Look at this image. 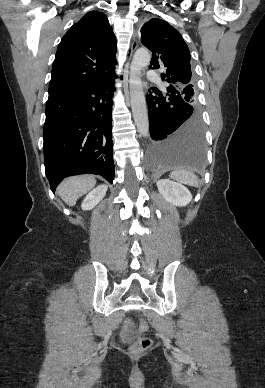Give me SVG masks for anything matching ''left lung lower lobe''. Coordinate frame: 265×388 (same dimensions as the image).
<instances>
[{
    "instance_id": "obj_1",
    "label": "left lung lower lobe",
    "mask_w": 265,
    "mask_h": 388,
    "mask_svg": "<svg viewBox=\"0 0 265 388\" xmlns=\"http://www.w3.org/2000/svg\"><path fill=\"white\" fill-rule=\"evenodd\" d=\"M177 90L147 95L151 134L149 163L153 167L200 170L204 164V129L198 108Z\"/></svg>"
}]
</instances>
